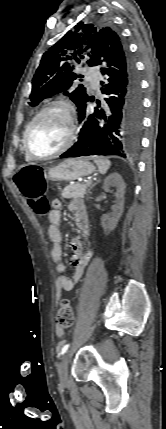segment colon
<instances>
[{
    "label": "colon",
    "mask_w": 166,
    "mask_h": 429,
    "mask_svg": "<svg viewBox=\"0 0 166 429\" xmlns=\"http://www.w3.org/2000/svg\"><path fill=\"white\" fill-rule=\"evenodd\" d=\"M14 182L20 193L37 213L45 214L48 211V202L45 197V171L41 166H23L14 175ZM73 322L74 313L70 301L67 299L60 300L56 311L57 326L67 329L72 326Z\"/></svg>",
    "instance_id": "colon-1"
}]
</instances>
